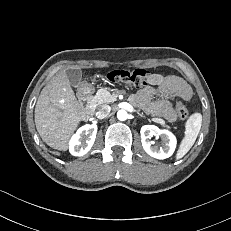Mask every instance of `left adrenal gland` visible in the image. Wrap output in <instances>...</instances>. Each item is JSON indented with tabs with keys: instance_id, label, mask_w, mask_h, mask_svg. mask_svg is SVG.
Returning a JSON list of instances; mask_svg holds the SVG:
<instances>
[{
	"instance_id": "a2214340",
	"label": "left adrenal gland",
	"mask_w": 231,
	"mask_h": 231,
	"mask_svg": "<svg viewBox=\"0 0 231 231\" xmlns=\"http://www.w3.org/2000/svg\"><path fill=\"white\" fill-rule=\"evenodd\" d=\"M137 114L142 117V115L139 112H137Z\"/></svg>"
}]
</instances>
